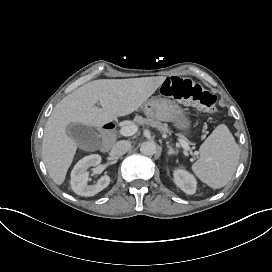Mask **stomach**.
<instances>
[{
  "mask_svg": "<svg viewBox=\"0 0 272 272\" xmlns=\"http://www.w3.org/2000/svg\"><path fill=\"white\" fill-rule=\"evenodd\" d=\"M142 109L148 117L173 122L177 128L185 129L190 125L184 109L173 100L152 97L142 104Z\"/></svg>",
  "mask_w": 272,
  "mask_h": 272,
  "instance_id": "obj_1",
  "label": "stomach"
}]
</instances>
